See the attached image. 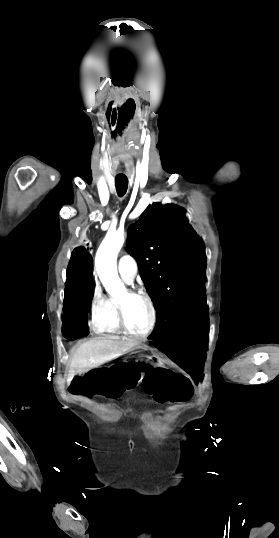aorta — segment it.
Masks as SVG:
<instances>
[{
    "instance_id": "obj_1",
    "label": "aorta",
    "mask_w": 279,
    "mask_h": 538,
    "mask_svg": "<svg viewBox=\"0 0 279 538\" xmlns=\"http://www.w3.org/2000/svg\"><path fill=\"white\" fill-rule=\"evenodd\" d=\"M125 242L124 232L121 230L109 231L99 246L95 266L100 281L106 292L120 298L126 294V288L117 272V255Z\"/></svg>"
}]
</instances>
